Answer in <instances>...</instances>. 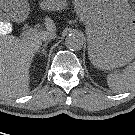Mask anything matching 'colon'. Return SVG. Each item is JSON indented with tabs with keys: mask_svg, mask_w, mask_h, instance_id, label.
<instances>
[{
	"mask_svg": "<svg viewBox=\"0 0 135 135\" xmlns=\"http://www.w3.org/2000/svg\"><path fill=\"white\" fill-rule=\"evenodd\" d=\"M131 4L135 8V0H131Z\"/></svg>",
	"mask_w": 135,
	"mask_h": 135,
	"instance_id": "obj_1",
	"label": "colon"
}]
</instances>
